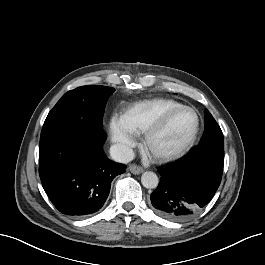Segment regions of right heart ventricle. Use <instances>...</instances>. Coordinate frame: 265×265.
Returning a JSON list of instances; mask_svg holds the SVG:
<instances>
[{
	"label": "right heart ventricle",
	"mask_w": 265,
	"mask_h": 265,
	"mask_svg": "<svg viewBox=\"0 0 265 265\" xmlns=\"http://www.w3.org/2000/svg\"><path fill=\"white\" fill-rule=\"evenodd\" d=\"M181 105L173 99L155 98L145 100L127 108L119 118L131 134L139 136L144 134L162 113Z\"/></svg>",
	"instance_id": "right-heart-ventricle-1"
}]
</instances>
